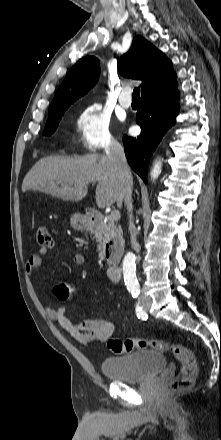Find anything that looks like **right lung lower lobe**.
<instances>
[{
	"label": "right lung lower lobe",
	"mask_w": 221,
	"mask_h": 440,
	"mask_svg": "<svg viewBox=\"0 0 221 440\" xmlns=\"http://www.w3.org/2000/svg\"><path fill=\"white\" fill-rule=\"evenodd\" d=\"M178 96L175 80L158 91L143 95L136 114L141 134L137 138L123 136L127 160L144 182H147V167L152 153L175 123L179 111Z\"/></svg>",
	"instance_id": "98d812e1"
}]
</instances>
